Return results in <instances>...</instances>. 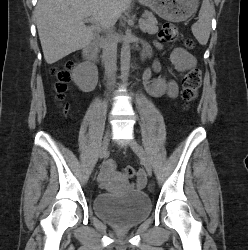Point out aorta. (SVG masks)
I'll use <instances>...</instances> for the list:
<instances>
[{
    "mask_svg": "<svg viewBox=\"0 0 248 250\" xmlns=\"http://www.w3.org/2000/svg\"><path fill=\"white\" fill-rule=\"evenodd\" d=\"M130 50H131L130 49V35L129 33H126L125 37L123 38V43H122V48H121V58H120L121 75H122L123 82H126L129 76L130 58H131Z\"/></svg>",
    "mask_w": 248,
    "mask_h": 250,
    "instance_id": "obj_1",
    "label": "aorta"
}]
</instances>
